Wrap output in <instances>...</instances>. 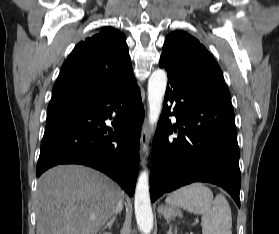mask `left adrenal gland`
Wrapping results in <instances>:
<instances>
[{"label":"left adrenal gland","instance_id":"a2214340","mask_svg":"<svg viewBox=\"0 0 279 234\" xmlns=\"http://www.w3.org/2000/svg\"><path fill=\"white\" fill-rule=\"evenodd\" d=\"M167 234H173L171 225L169 226V230H168Z\"/></svg>","mask_w":279,"mask_h":234}]
</instances>
